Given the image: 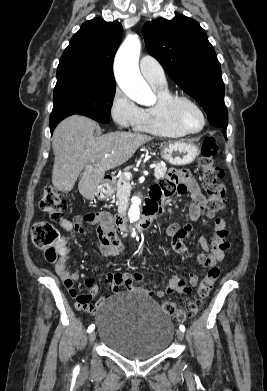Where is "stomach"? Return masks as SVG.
Masks as SVG:
<instances>
[{
    "instance_id": "obj_1",
    "label": "stomach",
    "mask_w": 267,
    "mask_h": 391,
    "mask_svg": "<svg viewBox=\"0 0 267 391\" xmlns=\"http://www.w3.org/2000/svg\"><path fill=\"white\" fill-rule=\"evenodd\" d=\"M161 155L164 160L172 165H187L192 163L199 155L197 145L187 141H179L163 145L160 147ZM114 187L107 183H101L95 190V196L104 199L112 195Z\"/></svg>"
}]
</instances>
